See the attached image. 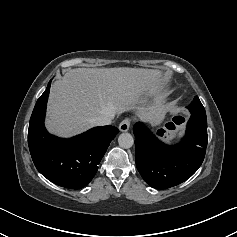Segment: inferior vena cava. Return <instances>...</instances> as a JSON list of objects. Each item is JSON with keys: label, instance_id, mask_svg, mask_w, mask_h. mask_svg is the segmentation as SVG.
Segmentation results:
<instances>
[{"label": "inferior vena cava", "instance_id": "1", "mask_svg": "<svg viewBox=\"0 0 237 237\" xmlns=\"http://www.w3.org/2000/svg\"><path fill=\"white\" fill-rule=\"evenodd\" d=\"M114 114L111 115H99L92 120L93 125L95 126H105L110 125L112 119L114 118Z\"/></svg>", "mask_w": 237, "mask_h": 237}]
</instances>
